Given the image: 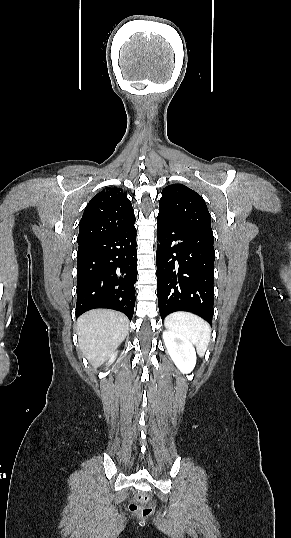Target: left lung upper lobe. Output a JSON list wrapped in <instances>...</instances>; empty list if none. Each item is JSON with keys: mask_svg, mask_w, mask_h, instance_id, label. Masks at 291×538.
I'll list each match as a JSON object with an SVG mask.
<instances>
[{"mask_svg": "<svg viewBox=\"0 0 291 538\" xmlns=\"http://www.w3.org/2000/svg\"><path fill=\"white\" fill-rule=\"evenodd\" d=\"M159 214L183 226L212 232L204 199L185 185L172 184L163 189Z\"/></svg>", "mask_w": 291, "mask_h": 538, "instance_id": "1", "label": "left lung upper lobe"}]
</instances>
